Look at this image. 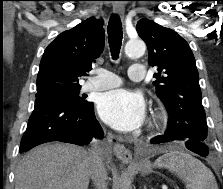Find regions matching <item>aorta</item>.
Returning <instances> with one entry per match:
<instances>
[{
    "mask_svg": "<svg viewBox=\"0 0 223 189\" xmlns=\"http://www.w3.org/2000/svg\"><path fill=\"white\" fill-rule=\"evenodd\" d=\"M124 50L127 57L131 59L139 58L144 55L146 45L141 39H133L125 44Z\"/></svg>",
    "mask_w": 223,
    "mask_h": 189,
    "instance_id": "1",
    "label": "aorta"
}]
</instances>
